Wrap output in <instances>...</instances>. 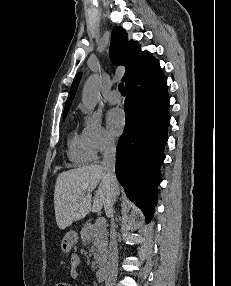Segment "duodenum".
Masks as SVG:
<instances>
[{
  "label": "duodenum",
  "instance_id": "obj_1",
  "mask_svg": "<svg viewBox=\"0 0 231 286\" xmlns=\"http://www.w3.org/2000/svg\"><path fill=\"white\" fill-rule=\"evenodd\" d=\"M96 279L99 283H104L106 280V272L104 268H100L97 272H96Z\"/></svg>",
  "mask_w": 231,
  "mask_h": 286
}]
</instances>
